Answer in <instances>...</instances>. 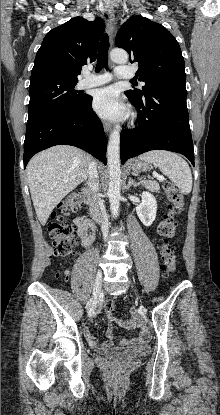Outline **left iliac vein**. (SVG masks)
<instances>
[{"label": "left iliac vein", "instance_id": "1", "mask_svg": "<svg viewBox=\"0 0 220 415\" xmlns=\"http://www.w3.org/2000/svg\"><path fill=\"white\" fill-rule=\"evenodd\" d=\"M131 285H132V287L134 288V290L136 291V293H137V290L135 289V287H134V284H133V282L131 281ZM138 294V293H137ZM140 298V297H139Z\"/></svg>", "mask_w": 220, "mask_h": 415}]
</instances>
